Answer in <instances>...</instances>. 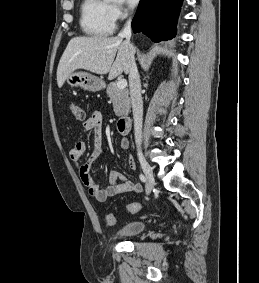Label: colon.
<instances>
[{
  "instance_id": "obj_1",
  "label": "colon",
  "mask_w": 259,
  "mask_h": 283,
  "mask_svg": "<svg viewBox=\"0 0 259 283\" xmlns=\"http://www.w3.org/2000/svg\"><path fill=\"white\" fill-rule=\"evenodd\" d=\"M70 111L72 118L75 121L81 122L84 120V112L81 106L77 103L70 104ZM140 210V204L137 202L128 203L126 206V211L130 214H135ZM106 224L108 226H114L116 224V218L114 214L109 213L106 215Z\"/></svg>"
}]
</instances>
